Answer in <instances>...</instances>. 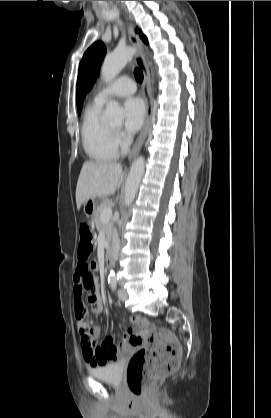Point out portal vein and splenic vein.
<instances>
[{"label":"portal vein and splenic vein","instance_id":"portal-vein-and-splenic-vein-1","mask_svg":"<svg viewBox=\"0 0 271 418\" xmlns=\"http://www.w3.org/2000/svg\"><path fill=\"white\" fill-rule=\"evenodd\" d=\"M112 217V209L110 206L106 207L101 213V221L108 222Z\"/></svg>","mask_w":271,"mask_h":418}]
</instances>
